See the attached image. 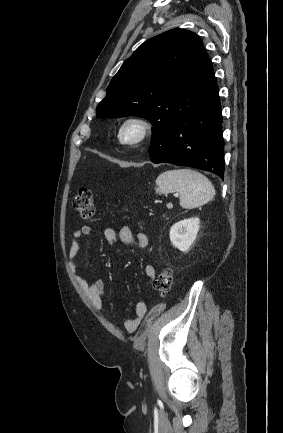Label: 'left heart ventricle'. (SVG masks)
Returning <instances> with one entry per match:
<instances>
[{"label":"left heart ventricle","instance_id":"1","mask_svg":"<svg viewBox=\"0 0 283 433\" xmlns=\"http://www.w3.org/2000/svg\"><path fill=\"white\" fill-rule=\"evenodd\" d=\"M139 134V127L136 125L127 126L122 133L124 139H131Z\"/></svg>","mask_w":283,"mask_h":433}]
</instances>
